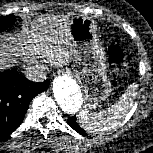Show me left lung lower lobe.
<instances>
[{
    "label": "left lung lower lobe",
    "instance_id": "left-lung-lower-lobe-1",
    "mask_svg": "<svg viewBox=\"0 0 153 153\" xmlns=\"http://www.w3.org/2000/svg\"><path fill=\"white\" fill-rule=\"evenodd\" d=\"M68 123L69 125L78 133H80L83 136H86L87 134L85 133V131L76 123V117H69L68 118Z\"/></svg>",
    "mask_w": 153,
    "mask_h": 153
}]
</instances>
